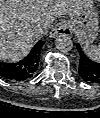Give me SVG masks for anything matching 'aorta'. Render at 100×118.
Returning a JSON list of instances; mask_svg holds the SVG:
<instances>
[{
	"label": "aorta",
	"instance_id": "obj_1",
	"mask_svg": "<svg viewBox=\"0 0 100 118\" xmlns=\"http://www.w3.org/2000/svg\"><path fill=\"white\" fill-rule=\"evenodd\" d=\"M55 46L61 52H69L73 48V42L68 35L60 34L55 39Z\"/></svg>",
	"mask_w": 100,
	"mask_h": 118
}]
</instances>
